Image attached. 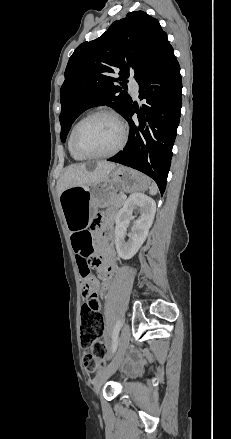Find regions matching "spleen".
<instances>
[{
    "label": "spleen",
    "mask_w": 231,
    "mask_h": 439,
    "mask_svg": "<svg viewBox=\"0 0 231 439\" xmlns=\"http://www.w3.org/2000/svg\"><path fill=\"white\" fill-rule=\"evenodd\" d=\"M150 195H156L158 192L157 185L153 182L149 188Z\"/></svg>",
    "instance_id": "1"
}]
</instances>
